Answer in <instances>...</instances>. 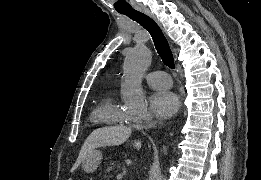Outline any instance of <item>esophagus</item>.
Masks as SVG:
<instances>
[{"label":"esophagus","mask_w":261,"mask_h":180,"mask_svg":"<svg viewBox=\"0 0 261 180\" xmlns=\"http://www.w3.org/2000/svg\"><path fill=\"white\" fill-rule=\"evenodd\" d=\"M138 9L141 10V12L147 13V15H149V13L143 7H139Z\"/></svg>","instance_id":"34e87169"}]
</instances>
